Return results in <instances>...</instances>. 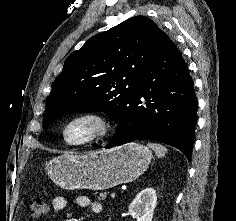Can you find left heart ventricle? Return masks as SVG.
<instances>
[{
  "label": "left heart ventricle",
  "instance_id": "1",
  "mask_svg": "<svg viewBox=\"0 0 236 221\" xmlns=\"http://www.w3.org/2000/svg\"><path fill=\"white\" fill-rule=\"evenodd\" d=\"M95 130V123L91 121H79L69 127L67 138L71 142H79L90 137Z\"/></svg>",
  "mask_w": 236,
  "mask_h": 221
}]
</instances>
